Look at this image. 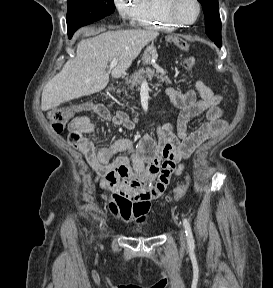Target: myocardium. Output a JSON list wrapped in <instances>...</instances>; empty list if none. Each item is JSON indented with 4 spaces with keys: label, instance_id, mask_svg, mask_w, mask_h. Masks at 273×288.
I'll use <instances>...</instances> for the list:
<instances>
[{
    "label": "myocardium",
    "instance_id": "myocardium-1",
    "mask_svg": "<svg viewBox=\"0 0 273 288\" xmlns=\"http://www.w3.org/2000/svg\"><path fill=\"white\" fill-rule=\"evenodd\" d=\"M197 8V14L192 21H184L182 20L176 13V5L178 0H165V11L167 17L176 25L179 26H190L194 24L200 17L201 14V3L199 0H193Z\"/></svg>",
    "mask_w": 273,
    "mask_h": 288
}]
</instances>
